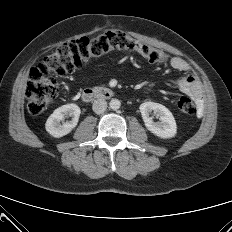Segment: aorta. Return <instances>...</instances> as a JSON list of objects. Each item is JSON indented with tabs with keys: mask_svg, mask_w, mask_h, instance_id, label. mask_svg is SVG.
Wrapping results in <instances>:
<instances>
[{
	"mask_svg": "<svg viewBox=\"0 0 232 232\" xmlns=\"http://www.w3.org/2000/svg\"><path fill=\"white\" fill-rule=\"evenodd\" d=\"M121 106V102L118 100V99H111L110 102H109V107L112 109V110H118Z\"/></svg>",
	"mask_w": 232,
	"mask_h": 232,
	"instance_id": "aorta-1",
	"label": "aorta"
}]
</instances>
